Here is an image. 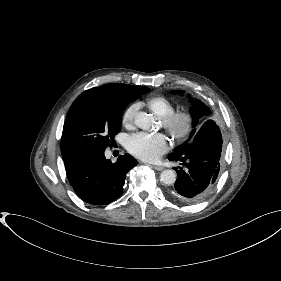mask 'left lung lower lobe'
<instances>
[{
  "label": "left lung lower lobe",
  "instance_id": "obj_1",
  "mask_svg": "<svg viewBox=\"0 0 281 281\" xmlns=\"http://www.w3.org/2000/svg\"><path fill=\"white\" fill-rule=\"evenodd\" d=\"M222 135L213 120H207L187 144L181 155H169L171 161L182 162L175 167L177 180L171 193L185 203H196L213 189L220 170Z\"/></svg>",
  "mask_w": 281,
  "mask_h": 281
}]
</instances>
